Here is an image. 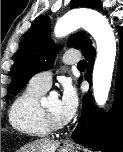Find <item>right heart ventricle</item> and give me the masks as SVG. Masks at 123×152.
<instances>
[{
    "instance_id": "obj_1",
    "label": "right heart ventricle",
    "mask_w": 123,
    "mask_h": 152,
    "mask_svg": "<svg viewBox=\"0 0 123 152\" xmlns=\"http://www.w3.org/2000/svg\"><path fill=\"white\" fill-rule=\"evenodd\" d=\"M44 93V90L28 85L13 102L9 121L16 131L35 138L46 137L50 133L39 103Z\"/></svg>"
}]
</instances>
